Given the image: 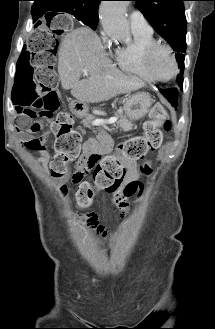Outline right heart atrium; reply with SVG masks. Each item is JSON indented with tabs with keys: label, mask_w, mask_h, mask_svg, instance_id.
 Here are the masks:
<instances>
[{
	"label": "right heart atrium",
	"mask_w": 215,
	"mask_h": 329,
	"mask_svg": "<svg viewBox=\"0 0 215 329\" xmlns=\"http://www.w3.org/2000/svg\"><path fill=\"white\" fill-rule=\"evenodd\" d=\"M102 39H103L104 43H108L109 42V38L107 37V35L105 33H103Z\"/></svg>",
	"instance_id": "obj_1"
}]
</instances>
